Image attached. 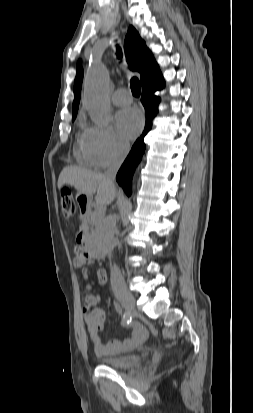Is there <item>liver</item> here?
Wrapping results in <instances>:
<instances>
[{"label": "liver", "instance_id": "liver-1", "mask_svg": "<svg viewBox=\"0 0 253 413\" xmlns=\"http://www.w3.org/2000/svg\"><path fill=\"white\" fill-rule=\"evenodd\" d=\"M71 185L79 192L92 197L96 193V203L106 206L116 195V188L104 174L96 173L76 166L65 167L58 178V189L63 185Z\"/></svg>", "mask_w": 253, "mask_h": 413}]
</instances>
